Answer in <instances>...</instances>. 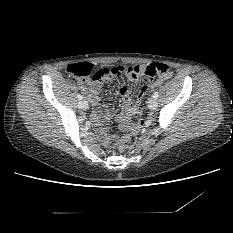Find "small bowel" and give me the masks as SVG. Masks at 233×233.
Instances as JSON below:
<instances>
[{
    "mask_svg": "<svg viewBox=\"0 0 233 233\" xmlns=\"http://www.w3.org/2000/svg\"><path fill=\"white\" fill-rule=\"evenodd\" d=\"M112 76H114V74L108 75V76H106L104 78H100V79H92V80L79 79L78 80V83H79L82 91L91 100V102L93 104V114L99 122H104L107 117L114 115L116 112L115 107L111 106V105H105L101 101L100 95H99V93L103 87V82L105 80H110ZM163 80H164V77L158 78L155 81L154 85L161 84L163 82ZM148 89H149V86L144 85L141 88V91L138 95L137 102L135 104H133L131 101L130 88L127 85L121 86L119 89V92H120V95L123 99L124 106L126 104H133V105L139 106L140 100L147 93ZM130 122H131V116L129 114H127V112L125 110V120L121 123V127L122 128L128 127L130 125ZM97 133H98L99 139L103 143L108 144L111 141V137L103 129L99 128L97 130Z\"/></svg>",
    "mask_w": 233,
    "mask_h": 233,
    "instance_id": "1",
    "label": "small bowel"
}]
</instances>
